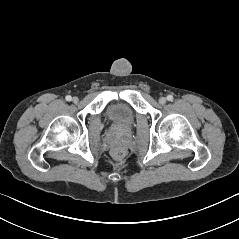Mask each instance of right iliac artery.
Returning <instances> with one entry per match:
<instances>
[{
	"label": "right iliac artery",
	"instance_id": "obj_1",
	"mask_svg": "<svg viewBox=\"0 0 239 239\" xmlns=\"http://www.w3.org/2000/svg\"><path fill=\"white\" fill-rule=\"evenodd\" d=\"M67 101H71L72 100V97L70 95H67L66 98H65Z\"/></svg>",
	"mask_w": 239,
	"mask_h": 239
}]
</instances>
